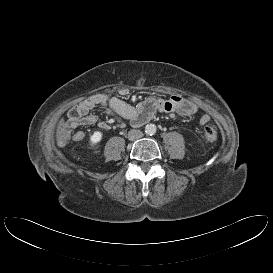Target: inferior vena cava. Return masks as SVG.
I'll list each match as a JSON object with an SVG mask.
<instances>
[{"instance_id":"602c4592","label":"inferior vena cava","mask_w":273,"mask_h":273,"mask_svg":"<svg viewBox=\"0 0 273 273\" xmlns=\"http://www.w3.org/2000/svg\"><path fill=\"white\" fill-rule=\"evenodd\" d=\"M143 137V133L140 130L132 129L128 132V138L131 141L140 139Z\"/></svg>"}]
</instances>
